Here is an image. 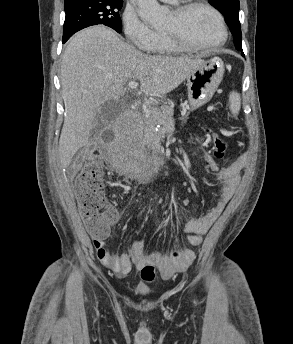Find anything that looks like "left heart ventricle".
I'll return each instance as SVG.
<instances>
[{"mask_svg": "<svg viewBox=\"0 0 293 344\" xmlns=\"http://www.w3.org/2000/svg\"><path fill=\"white\" fill-rule=\"evenodd\" d=\"M163 31L176 32L194 45L204 46L220 38V29L216 18L205 8L196 7L177 18L172 12Z\"/></svg>", "mask_w": 293, "mask_h": 344, "instance_id": "left-heart-ventricle-1", "label": "left heart ventricle"}]
</instances>
